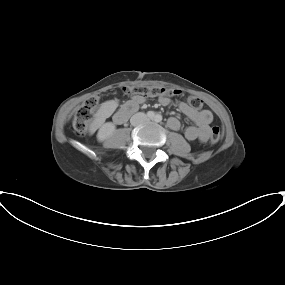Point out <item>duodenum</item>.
Here are the masks:
<instances>
[{
  "label": "duodenum",
  "instance_id": "1",
  "mask_svg": "<svg viewBox=\"0 0 285 285\" xmlns=\"http://www.w3.org/2000/svg\"><path fill=\"white\" fill-rule=\"evenodd\" d=\"M137 109V106L133 103H126L114 116V121L118 124L126 122L128 117L132 115Z\"/></svg>",
  "mask_w": 285,
  "mask_h": 285
}]
</instances>
